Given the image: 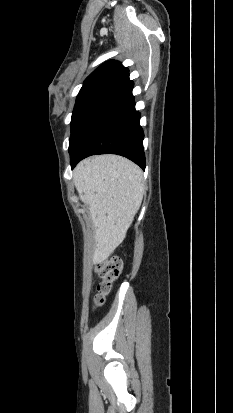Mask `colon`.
Segmentation results:
<instances>
[{"label":"colon","mask_w":233,"mask_h":413,"mask_svg":"<svg viewBox=\"0 0 233 413\" xmlns=\"http://www.w3.org/2000/svg\"><path fill=\"white\" fill-rule=\"evenodd\" d=\"M121 268V261L117 257H111L97 265V273L102 281L98 285V292L95 296L96 305H101L104 302L113 282L119 277Z\"/></svg>","instance_id":"colon-1"}]
</instances>
